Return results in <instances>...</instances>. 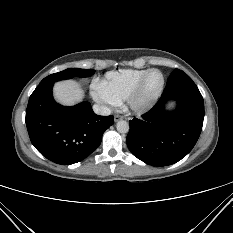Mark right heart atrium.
<instances>
[{"label": "right heart atrium", "mask_w": 233, "mask_h": 233, "mask_svg": "<svg viewBox=\"0 0 233 233\" xmlns=\"http://www.w3.org/2000/svg\"><path fill=\"white\" fill-rule=\"evenodd\" d=\"M93 98L103 106H115L117 101L106 91L100 82H95L92 89Z\"/></svg>", "instance_id": "d8ad5b80"}]
</instances>
